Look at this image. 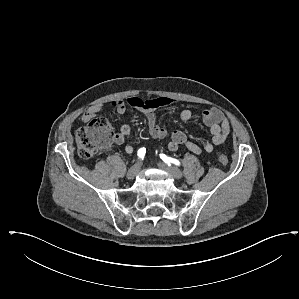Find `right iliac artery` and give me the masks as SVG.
<instances>
[{"instance_id": "1", "label": "right iliac artery", "mask_w": 299, "mask_h": 299, "mask_svg": "<svg viewBox=\"0 0 299 299\" xmlns=\"http://www.w3.org/2000/svg\"><path fill=\"white\" fill-rule=\"evenodd\" d=\"M145 153H146V149H145L144 147H143V148H140V149L138 150V153H137L139 159L143 160V159H144V156H145Z\"/></svg>"}]
</instances>
